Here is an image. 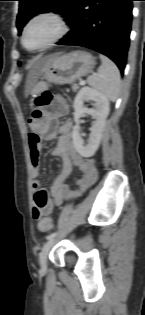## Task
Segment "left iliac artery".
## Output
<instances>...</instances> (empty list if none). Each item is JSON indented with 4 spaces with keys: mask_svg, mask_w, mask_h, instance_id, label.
Listing matches in <instances>:
<instances>
[{
    "mask_svg": "<svg viewBox=\"0 0 145 315\" xmlns=\"http://www.w3.org/2000/svg\"><path fill=\"white\" fill-rule=\"evenodd\" d=\"M56 235H57V232L51 233V234H49V235L46 237V239H47V240H51V239H53Z\"/></svg>",
    "mask_w": 145,
    "mask_h": 315,
    "instance_id": "44dca946",
    "label": "left iliac artery"
}]
</instances>
